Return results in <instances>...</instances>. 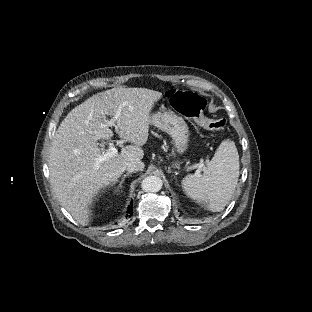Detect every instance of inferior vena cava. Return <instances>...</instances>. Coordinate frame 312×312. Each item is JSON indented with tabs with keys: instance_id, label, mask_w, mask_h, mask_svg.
<instances>
[{
	"instance_id": "602c4592",
	"label": "inferior vena cava",
	"mask_w": 312,
	"mask_h": 312,
	"mask_svg": "<svg viewBox=\"0 0 312 312\" xmlns=\"http://www.w3.org/2000/svg\"><path fill=\"white\" fill-rule=\"evenodd\" d=\"M144 169V163L141 160L130 161L126 165V170L129 173L142 171Z\"/></svg>"
}]
</instances>
